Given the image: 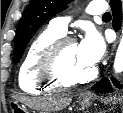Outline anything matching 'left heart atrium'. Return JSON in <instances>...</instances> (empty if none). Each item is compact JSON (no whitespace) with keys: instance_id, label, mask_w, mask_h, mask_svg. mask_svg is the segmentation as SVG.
Segmentation results:
<instances>
[{"instance_id":"obj_1","label":"left heart atrium","mask_w":123,"mask_h":113,"mask_svg":"<svg viewBox=\"0 0 123 113\" xmlns=\"http://www.w3.org/2000/svg\"><path fill=\"white\" fill-rule=\"evenodd\" d=\"M80 58L93 67L105 52V43L101 35L95 30L87 31L85 37L78 44Z\"/></svg>"}]
</instances>
